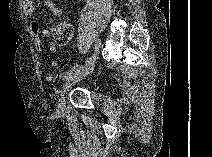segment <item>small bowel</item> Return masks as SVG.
I'll use <instances>...</instances> for the list:
<instances>
[{"label":"small bowel","mask_w":212,"mask_h":157,"mask_svg":"<svg viewBox=\"0 0 212 157\" xmlns=\"http://www.w3.org/2000/svg\"><path fill=\"white\" fill-rule=\"evenodd\" d=\"M38 2L46 7L49 12L54 16V17H60L63 14L62 8L58 6L53 0H38ZM22 8L27 16V18H33L34 13H35V7H34V2L32 0H24L22 2ZM30 34L34 40L35 47L38 51L41 50V40H40V35L43 37H49L50 36V29L47 27L40 28L39 24L37 21L32 20L30 23ZM57 51V47L53 42H50L48 44V52L50 54H54ZM51 67H56L57 66V60L53 59L50 62ZM53 74L48 73L45 76L46 81H51L53 79Z\"/></svg>","instance_id":"1"}]
</instances>
